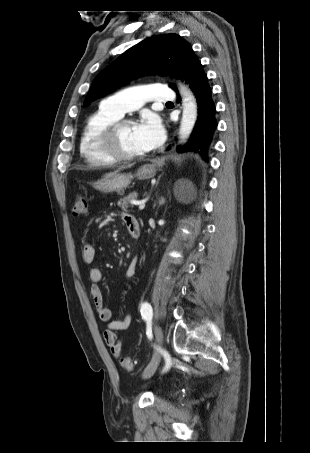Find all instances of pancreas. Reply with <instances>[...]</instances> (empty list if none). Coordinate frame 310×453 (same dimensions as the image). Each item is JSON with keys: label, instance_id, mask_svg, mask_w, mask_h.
<instances>
[{"label": "pancreas", "instance_id": "pancreas-1", "mask_svg": "<svg viewBox=\"0 0 310 453\" xmlns=\"http://www.w3.org/2000/svg\"><path fill=\"white\" fill-rule=\"evenodd\" d=\"M137 197H138V194L136 192H132L128 196L121 198L118 201V206L121 207V209L125 211L129 207H131L130 201L137 199Z\"/></svg>", "mask_w": 310, "mask_h": 453}]
</instances>
